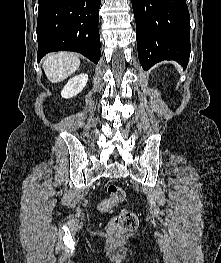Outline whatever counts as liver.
<instances>
[{
	"instance_id": "1",
	"label": "liver",
	"mask_w": 221,
	"mask_h": 263,
	"mask_svg": "<svg viewBox=\"0 0 221 263\" xmlns=\"http://www.w3.org/2000/svg\"><path fill=\"white\" fill-rule=\"evenodd\" d=\"M80 66L79 58L69 52L48 55L43 62V69L52 83H58L72 75Z\"/></svg>"
}]
</instances>
